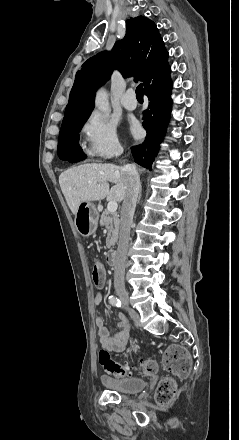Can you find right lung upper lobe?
<instances>
[{"label": "right lung upper lobe", "mask_w": 239, "mask_h": 440, "mask_svg": "<svg viewBox=\"0 0 239 440\" xmlns=\"http://www.w3.org/2000/svg\"><path fill=\"white\" fill-rule=\"evenodd\" d=\"M167 59L168 52L155 23L143 16L128 19L125 36L115 43L112 51L96 54L77 72L62 124L91 113L92 98L109 80L113 69L146 84L169 66Z\"/></svg>", "instance_id": "cb5924a9"}]
</instances>
